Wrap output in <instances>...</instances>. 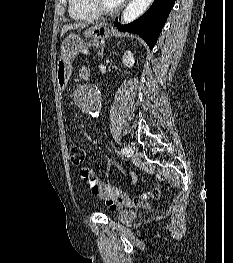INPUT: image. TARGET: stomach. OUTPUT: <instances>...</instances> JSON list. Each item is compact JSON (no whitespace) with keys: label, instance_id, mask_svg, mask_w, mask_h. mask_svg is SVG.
Here are the masks:
<instances>
[{"label":"stomach","instance_id":"1","mask_svg":"<svg viewBox=\"0 0 233 263\" xmlns=\"http://www.w3.org/2000/svg\"><path fill=\"white\" fill-rule=\"evenodd\" d=\"M85 37L93 39H106L110 29L106 23H98L84 32ZM83 40L79 35H68L61 44V55L57 61L56 80L60 90L66 87L72 72V59L81 51Z\"/></svg>","mask_w":233,"mask_h":263}]
</instances>
